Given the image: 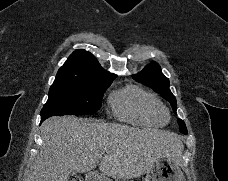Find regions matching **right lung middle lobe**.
Masks as SVG:
<instances>
[{"instance_id": "obj_1", "label": "right lung middle lobe", "mask_w": 228, "mask_h": 181, "mask_svg": "<svg viewBox=\"0 0 228 181\" xmlns=\"http://www.w3.org/2000/svg\"><path fill=\"white\" fill-rule=\"evenodd\" d=\"M111 81L80 84L53 83L41 110V121L53 115H85L101 108V100Z\"/></svg>"}]
</instances>
